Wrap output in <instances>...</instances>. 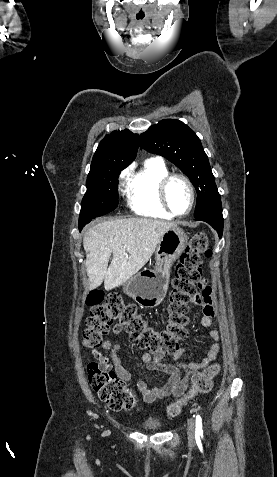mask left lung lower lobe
I'll use <instances>...</instances> for the list:
<instances>
[{
    "label": "left lung lower lobe",
    "instance_id": "1",
    "mask_svg": "<svg viewBox=\"0 0 277 477\" xmlns=\"http://www.w3.org/2000/svg\"><path fill=\"white\" fill-rule=\"evenodd\" d=\"M195 220H200L210 224L217 232L221 238L223 233V215L222 207L220 209H214L202 216L196 217Z\"/></svg>",
    "mask_w": 277,
    "mask_h": 477
}]
</instances>
